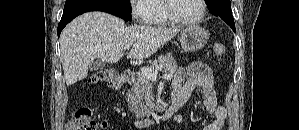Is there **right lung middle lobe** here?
<instances>
[{"mask_svg":"<svg viewBox=\"0 0 299 130\" xmlns=\"http://www.w3.org/2000/svg\"><path fill=\"white\" fill-rule=\"evenodd\" d=\"M68 1H70V0H66V2H68ZM101 1L112 3L115 5H118L126 10L132 11L131 6H130V0H101Z\"/></svg>","mask_w":299,"mask_h":130,"instance_id":"obj_1","label":"right lung middle lobe"}]
</instances>
